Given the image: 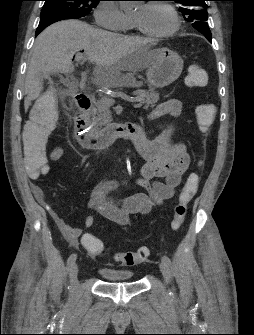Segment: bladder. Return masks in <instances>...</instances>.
<instances>
[{"mask_svg":"<svg viewBox=\"0 0 254 335\" xmlns=\"http://www.w3.org/2000/svg\"><path fill=\"white\" fill-rule=\"evenodd\" d=\"M99 273L106 282H126L134 278L132 271L110 267L100 268Z\"/></svg>","mask_w":254,"mask_h":335,"instance_id":"1","label":"bladder"}]
</instances>
